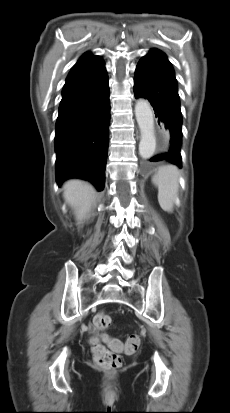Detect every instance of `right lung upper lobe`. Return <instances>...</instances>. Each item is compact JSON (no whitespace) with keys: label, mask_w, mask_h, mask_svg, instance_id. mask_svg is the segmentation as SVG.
<instances>
[{"label":"right lung upper lobe","mask_w":230,"mask_h":413,"mask_svg":"<svg viewBox=\"0 0 230 413\" xmlns=\"http://www.w3.org/2000/svg\"><path fill=\"white\" fill-rule=\"evenodd\" d=\"M103 67L104 61L100 56L92 55L90 52H87L73 66L66 81L84 77L101 70Z\"/></svg>","instance_id":"1"}]
</instances>
